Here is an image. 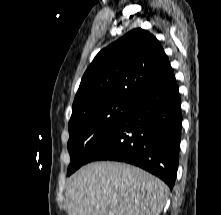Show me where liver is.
<instances>
[{
	"instance_id": "1",
	"label": "liver",
	"mask_w": 221,
	"mask_h": 215,
	"mask_svg": "<svg viewBox=\"0 0 221 215\" xmlns=\"http://www.w3.org/2000/svg\"><path fill=\"white\" fill-rule=\"evenodd\" d=\"M167 185L129 164L95 162L80 168L67 181L68 215H159Z\"/></svg>"
}]
</instances>
